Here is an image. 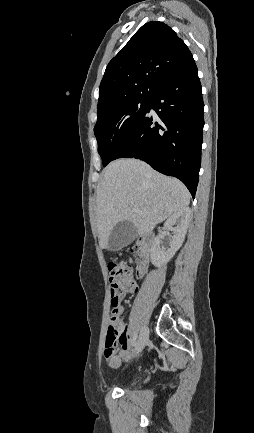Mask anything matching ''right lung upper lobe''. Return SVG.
<instances>
[{"mask_svg": "<svg viewBox=\"0 0 254 433\" xmlns=\"http://www.w3.org/2000/svg\"><path fill=\"white\" fill-rule=\"evenodd\" d=\"M191 60L188 47L168 25L146 23L107 65L97 111L126 100L152 99Z\"/></svg>", "mask_w": 254, "mask_h": 433, "instance_id": "obj_1", "label": "right lung upper lobe"}]
</instances>
